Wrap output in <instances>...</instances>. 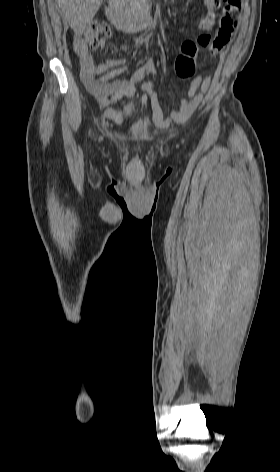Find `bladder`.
Returning a JSON list of instances; mask_svg holds the SVG:
<instances>
[{"instance_id": "1", "label": "bladder", "mask_w": 280, "mask_h": 472, "mask_svg": "<svg viewBox=\"0 0 280 472\" xmlns=\"http://www.w3.org/2000/svg\"><path fill=\"white\" fill-rule=\"evenodd\" d=\"M134 105L132 102H128L123 109V113L126 117L130 116L133 111Z\"/></svg>"}]
</instances>
